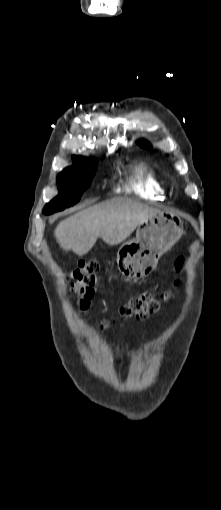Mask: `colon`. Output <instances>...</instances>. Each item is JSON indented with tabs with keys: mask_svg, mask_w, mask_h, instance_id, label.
Segmentation results:
<instances>
[{
	"mask_svg": "<svg viewBox=\"0 0 221 510\" xmlns=\"http://www.w3.org/2000/svg\"><path fill=\"white\" fill-rule=\"evenodd\" d=\"M183 266V258H178L175 262V269L180 271ZM100 267L96 261H84L79 264L73 273V289L78 298V305L82 311L89 309L91 300L94 296V287L96 281V274ZM165 298V294H155L153 292L145 291L138 296L130 298V300L120 308V315L126 318H133L136 320H143L148 318L151 314L158 311L160 302ZM110 321L103 320L100 323V328L105 329L109 327Z\"/></svg>",
	"mask_w": 221,
	"mask_h": 510,
	"instance_id": "5ec220e1",
	"label": "colon"
}]
</instances>
